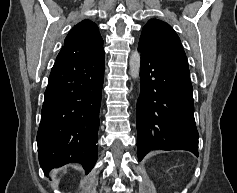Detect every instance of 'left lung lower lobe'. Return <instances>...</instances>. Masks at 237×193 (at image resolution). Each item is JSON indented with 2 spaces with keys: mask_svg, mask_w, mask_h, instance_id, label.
<instances>
[{
  "mask_svg": "<svg viewBox=\"0 0 237 193\" xmlns=\"http://www.w3.org/2000/svg\"><path fill=\"white\" fill-rule=\"evenodd\" d=\"M141 54L137 101L138 158L150 150H188L198 156L189 69L138 47Z\"/></svg>",
  "mask_w": 237,
  "mask_h": 193,
  "instance_id": "0a47b994",
  "label": "left lung lower lobe"
}]
</instances>
